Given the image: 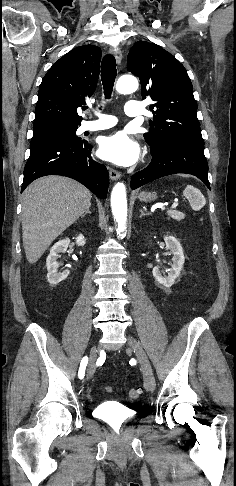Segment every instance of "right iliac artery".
<instances>
[{
  "mask_svg": "<svg viewBox=\"0 0 236 486\" xmlns=\"http://www.w3.org/2000/svg\"><path fill=\"white\" fill-rule=\"evenodd\" d=\"M87 363H88V357L85 356L81 360L80 368H79V372H78V376H79L80 379H82L84 377V375H85V368L87 366Z\"/></svg>",
  "mask_w": 236,
  "mask_h": 486,
  "instance_id": "82829eb1",
  "label": "right iliac artery"
}]
</instances>
